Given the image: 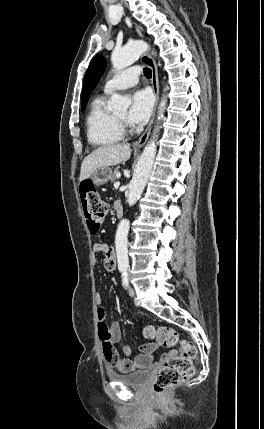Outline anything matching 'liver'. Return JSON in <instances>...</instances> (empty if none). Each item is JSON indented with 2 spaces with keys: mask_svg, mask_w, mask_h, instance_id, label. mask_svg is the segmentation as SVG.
Listing matches in <instances>:
<instances>
[{
  "mask_svg": "<svg viewBox=\"0 0 264 429\" xmlns=\"http://www.w3.org/2000/svg\"><path fill=\"white\" fill-rule=\"evenodd\" d=\"M129 144H111L101 146L86 156L80 170V181L89 178L98 168L117 165L129 160Z\"/></svg>",
  "mask_w": 264,
  "mask_h": 429,
  "instance_id": "obj_1",
  "label": "liver"
}]
</instances>
